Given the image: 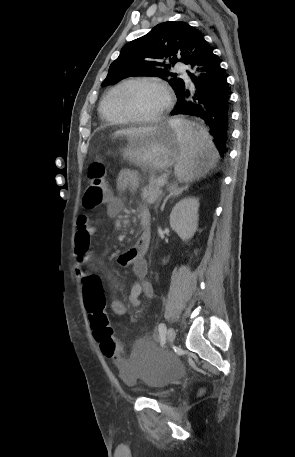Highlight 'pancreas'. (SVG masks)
<instances>
[{
	"instance_id": "pancreas-1",
	"label": "pancreas",
	"mask_w": 295,
	"mask_h": 457,
	"mask_svg": "<svg viewBox=\"0 0 295 457\" xmlns=\"http://www.w3.org/2000/svg\"><path fill=\"white\" fill-rule=\"evenodd\" d=\"M157 178H151L149 184L142 191V200L147 204L159 203L162 198V190L158 185Z\"/></svg>"
}]
</instances>
